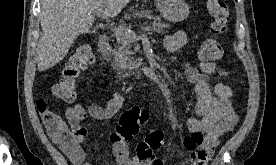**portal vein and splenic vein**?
<instances>
[{"label":"portal vein and splenic vein","mask_w":276,"mask_h":165,"mask_svg":"<svg viewBox=\"0 0 276 165\" xmlns=\"http://www.w3.org/2000/svg\"><path fill=\"white\" fill-rule=\"evenodd\" d=\"M102 12H103V10L99 9L97 11V15L101 16ZM113 30H114V33L116 35L125 36L127 38L132 39V40L137 37L134 31H132L130 29H125L124 27H115ZM150 31H151L150 26H145V27L141 28V33H146V32H150Z\"/></svg>","instance_id":"obj_1"}]
</instances>
